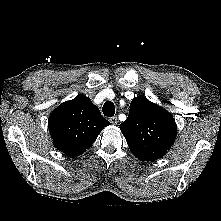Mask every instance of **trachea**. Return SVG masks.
Returning <instances> with one entry per match:
<instances>
[{"instance_id": "3493384b", "label": "trachea", "mask_w": 221, "mask_h": 221, "mask_svg": "<svg viewBox=\"0 0 221 221\" xmlns=\"http://www.w3.org/2000/svg\"><path fill=\"white\" fill-rule=\"evenodd\" d=\"M102 110L107 117H112L115 114V106L111 101L105 102Z\"/></svg>"}]
</instances>
